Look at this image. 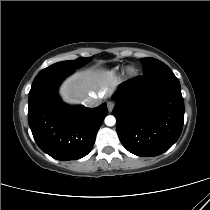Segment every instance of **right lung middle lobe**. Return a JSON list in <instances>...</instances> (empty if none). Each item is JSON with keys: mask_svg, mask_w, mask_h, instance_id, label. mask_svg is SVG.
Segmentation results:
<instances>
[{"mask_svg": "<svg viewBox=\"0 0 210 210\" xmlns=\"http://www.w3.org/2000/svg\"><path fill=\"white\" fill-rule=\"evenodd\" d=\"M90 58H84V57H79L76 60H72V61H62V62H58L55 63L45 69H68V70H74L76 68L81 67L82 65H84L85 63H87L88 61H90Z\"/></svg>", "mask_w": 210, "mask_h": 210, "instance_id": "1", "label": "right lung middle lobe"}]
</instances>
